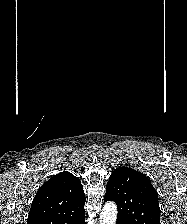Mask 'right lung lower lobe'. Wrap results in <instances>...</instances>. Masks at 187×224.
I'll list each match as a JSON object with an SVG mask.
<instances>
[{"mask_svg":"<svg viewBox=\"0 0 187 224\" xmlns=\"http://www.w3.org/2000/svg\"><path fill=\"white\" fill-rule=\"evenodd\" d=\"M71 224H85L84 217H81L80 219L76 221H72Z\"/></svg>","mask_w":187,"mask_h":224,"instance_id":"98d812e1","label":"right lung lower lobe"}]
</instances>
